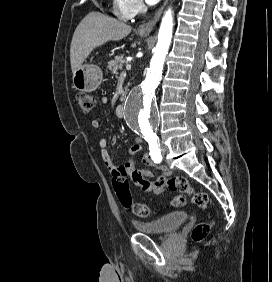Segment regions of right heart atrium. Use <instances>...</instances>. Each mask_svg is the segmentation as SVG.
<instances>
[{
    "label": "right heart atrium",
    "instance_id": "obj_1",
    "mask_svg": "<svg viewBox=\"0 0 272 282\" xmlns=\"http://www.w3.org/2000/svg\"><path fill=\"white\" fill-rule=\"evenodd\" d=\"M124 1L125 2L122 6V12H124L128 16L136 15L143 8V4L141 0H124Z\"/></svg>",
    "mask_w": 272,
    "mask_h": 282
}]
</instances>
